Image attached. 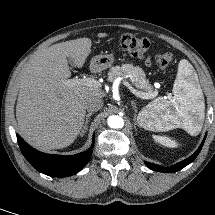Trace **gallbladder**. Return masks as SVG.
I'll list each match as a JSON object with an SVG mask.
<instances>
[{"label":"gallbladder","instance_id":"gallbladder-1","mask_svg":"<svg viewBox=\"0 0 215 215\" xmlns=\"http://www.w3.org/2000/svg\"><path fill=\"white\" fill-rule=\"evenodd\" d=\"M68 60H69V62H70L73 66H75V65H74V62H73V60H72L71 58H68Z\"/></svg>","mask_w":215,"mask_h":215}]
</instances>
